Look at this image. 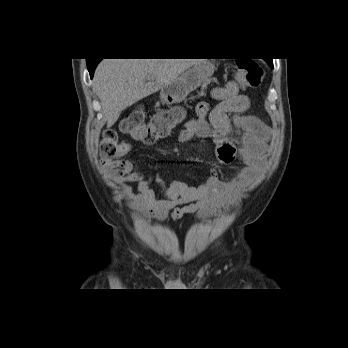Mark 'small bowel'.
Segmentation results:
<instances>
[{
    "mask_svg": "<svg viewBox=\"0 0 348 348\" xmlns=\"http://www.w3.org/2000/svg\"><path fill=\"white\" fill-rule=\"evenodd\" d=\"M211 97L218 103L213 108L207 102L199 103L196 117L184 122L179 140L187 143L196 136L211 135L218 160L223 164L238 162L242 166L228 181L222 180L213 169L195 187L179 180L166 184L160 177L148 176L139 170L126 156L131 150L127 146L115 160L106 161L103 168L119 185L125 204L132 209L135 219L155 217L165 220L169 216L180 219L187 214L203 218L217 214L233 206L242 191L262 173L271 132L257 117L245 115L250 107L249 97L239 92L235 81L213 88ZM234 128L243 130L239 148L230 138ZM129 182L137 184V192L127 184ZM153 183L158 186V191L152 189Z\"/></svg>",
    "mask_w": 348,
    "mask_h": 348,
    "instance_id": "c3829d8e",
    "label": "small bowel"
}]
</instances>
